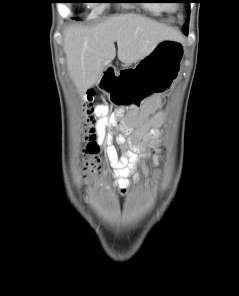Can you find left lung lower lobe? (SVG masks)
I'll return each instance as SVG.
<instances>
[{
	"instance_id": "obj_1",
	"label": "left lung lower lobe",
	"mask_w": 239,
	"mask_h": 296,
	"mask_svg": "<svg viewBox=\"0 0 239 296\" xmlns=\"http://www.w3.org/2000/svg\"><path fill=\"white\" fill-rule=\"evenodd\" d=\"M182 32H183L185 35H187V33H188V29H182Z\"/></svg>"
}]
</instances>
